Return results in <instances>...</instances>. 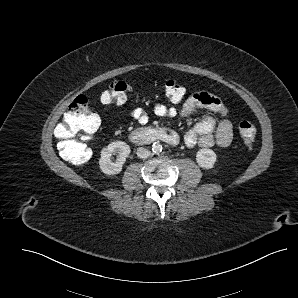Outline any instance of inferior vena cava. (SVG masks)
I'll return each mask as SVG.
<instances>
[{
	"label": "inferior vena cava",
	"instance_id": "obj_1",
	"mask_svg": "<svg viewBox=\"0 0 298 298\" xmlns=\"http://www.w3.org/2000/svg\"><path fill=\"white\" fill-rule=\"evenodd\" d=\"M136 154L139 158L145 159L150 156L151 152H150V150H148L144 147H139V148H137Z\"/></svg>",
	"mask_w": 298,
	"mask_h": 298
}]
</instances>
